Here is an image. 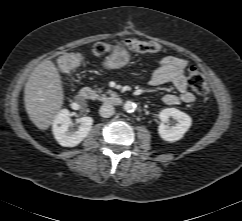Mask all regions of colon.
Returning a JSON list of instances; mask_svg holds the SVG:
<instances>
[{
	"label": "colon",
	"instance_id": "1",
	"mask_svg": "<svg viewBox=\"0 0 242 221\" xmlns=\"http://www.w3.org/2000/svg\"><path fill=\"white\" fill-rule=\"evenodd\" d=\"M125 48L132 53H149L159 52L163 49L162 45L158 42H145L136 39H131L125 42ZM94 53L98 56H104L110 53L111 46L107 43H97L94 46ZM82 57L78 52H67L63 54L57 61V68L62 73H69L78 68L81 63ZM188 83L194 92L200 97L207 98L209 95L208 85L199 70L195 65L188 67Z\"/></svg>",
	"mask_w": 242,
	"mask_h": 221
}]
</instances>
